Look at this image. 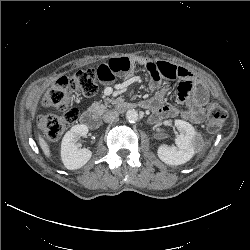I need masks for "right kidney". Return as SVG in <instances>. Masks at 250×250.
Instances as JSON below:
<instances>
[{
    "instance_id": "right-kidney-1",
    "label": "right kidney",
    "mask_w": 250,
    "mask_h": 250,
    "mask_svg": "<svg viewBox=\"0 0 250 250\" xmlns=\"http://www.w3.org/2000/svg\"><path fill=\"white\" fill-rule=\"evenodd\" d=\"M88 127L83 124L73 126L63 137L61 143V159L64 166L69 170H75L83 167L92 157L89 149H78L77 139L86 136Z\"/></svg>"
}]
</instances>
